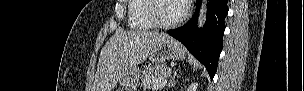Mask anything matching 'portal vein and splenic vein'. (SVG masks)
<instances>
[{"instance_id":"portal-vein-and-splenic-vein-1","label":"portal vein and splenic vein","mask_w":304,"mask_h":91,"mask_svg":"<svg viewBox=\"0 0 304 91\" xmlns=\"http://www.w3.org/2000/svg\"><path fill=\"white\" fill-rule=\"evenodd\" d=\"M165 82H166V80H165L164 82H162V83H159V84L155 85V86L153 87V90L158 89V88H160L161 86H164V85H165Z\"/></svg>"}]
</instances>
